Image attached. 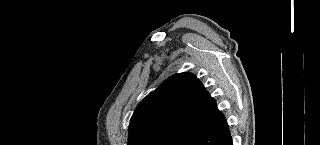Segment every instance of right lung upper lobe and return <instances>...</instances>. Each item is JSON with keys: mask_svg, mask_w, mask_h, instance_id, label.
Segmentation results:
<instances>
[{"mask_svg": "<svg viewBox=\"0 0 320 145\" xmlns=\"http://www.w3.org/2000/svg\"><path fill=\"white\" fill-rule=\"evenodd\" d=\"M219 112L216 101L192 73L175 74L137 106L130 121L128 145L158 133H179Z\"/></svg>", "mask_w": 320, "mask_h": 145, "instance_id": "cb5924a9", "label": "right lung upper lobe"}]
</instances>
